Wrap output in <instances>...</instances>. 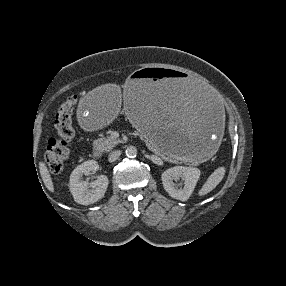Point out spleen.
Masks as SVG:
<instances>
[{"mask_svg":"<svg viewBox=\"0 0 286 286\" xmlns=\"http://www.w3.org/2000/svg\"><path fill=\"white\" fill-rule=\"evenodd\" d=\"M225 172L226 170L224 167L217 168L203 184L202 188L198 192V195L204 196L215 189V187L223 180Z\"/></svg>","mask_w":286,"mask_h":286,"instance_id":"3e777b00","label":"spleen"}]
</instances>
